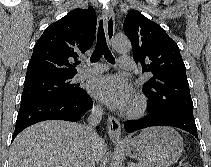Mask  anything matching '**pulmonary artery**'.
Listing matches in <instances>:
<instances>
[{
  "mask_svg": "<svg viewBox=\"0 0 211 167\" xmlns=\"http://www.w3.org/2000/svg\"><path fill=\"white\" fill-rule=\"evenodd\" d=\"M118 66L121 69L130 70L133 67V60L127 55H122L119 57ZM106 69H107V66L104 64H97L92 67L82 68L77 72L76 78L84 79L89 76L101 73V72L105 71Z\"/></svg>",
  "mask_w": 211,
  "mask_h": 167,
  "instance_id": "obj_1",
  "label": "pulmonary artery"
}]
</instances>
